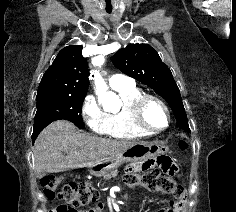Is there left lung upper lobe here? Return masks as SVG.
I'll use <instances>...</instances> for the list:
<instances>
[{"label":"left lung upper lobe","mask_w":236,"mask_h":212,"mask_svg":"<svg viewBox=\"0 0 236 212\" xmlns=\"http://www.w3.org/2000/svg\"><path fill=\"white\" fill-rule=\"evenodd\" d=\"M112 62L120 71L163 97L175 115L176 125L190 131L179 88L155 49L148 44H130L116 52Z\"/></svg>","instance_id":"1"}]
</instances>
